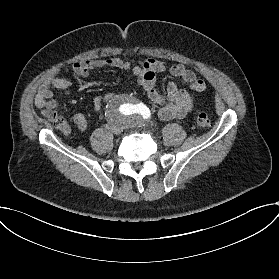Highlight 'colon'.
I'll return each instance as SVG.
<instances>
[{
    "instance_id": "colon-1",
    "label": "colon",
    "mask_w": 279,
    "mask_h": 279,
    "mask_svg": "<svg viewBox=\"0 0 279 279\" xmlns=\"http://www.w3.org/2000/svg\"><path fill=\"white\" fill-rule=\"evenodd\" d=\"M45 117L51 121V123L61 130L65 134H69L70 131V120L64 115L58 114L52 111H46ZM210 125L209 116L206 113H199L196 116V126L199 129H206Z\"/></svg>"
}]
</instances>
